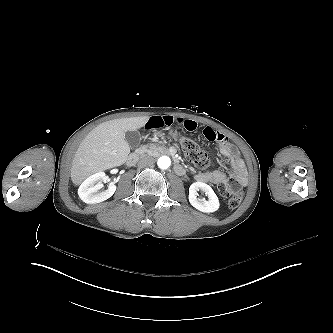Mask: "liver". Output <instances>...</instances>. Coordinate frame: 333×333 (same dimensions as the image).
<instances>
[{
  "label": "liver",
  "mask_w": 333,
  "mask_h": 333,
  "mask_svg": "<svg viewBox=\"0 0 333 333\" xmlns=\"http://www.w3.org/2000/svg\"><path fill=\"white\" fill-rule=\"evenodd\" d=\"M149 119V116L113 119L96 126L80 143L73 157L72 183L79 186L96 172L125 164L130 154L125 134L143 128Z\"/></svg>",
  "instance_id": "liver-1"
}]
</instances>
